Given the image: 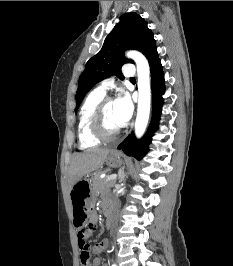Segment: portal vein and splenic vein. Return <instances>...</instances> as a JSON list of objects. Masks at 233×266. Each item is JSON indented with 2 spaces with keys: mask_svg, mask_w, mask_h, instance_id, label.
<instances>
[{
  "mask_svg": "<svg viewBox=\"0 0 233 266\" xmlns=\"http://www.w3.org/2000/svg\"><path fill=\"white\" fill-rule=\"evenodd\" d=\"M117 178V174H111L107 176V181H112Z\"/></svg>",
  "mask_w": 233,
  "mask_h": 266,
  "instance_id": "18ae733b",
  "label": "portal vein and splenic vein"
}]
</instances>
